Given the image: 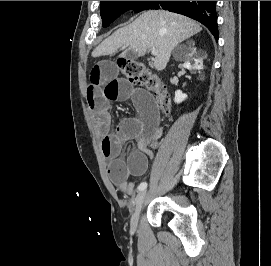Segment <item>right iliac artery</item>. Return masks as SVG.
I'll use <instances>...</instances> for the list:
<instances>
[{"label": "right iliac artery", "mask_w": 271, "mask_h": 266, "mask_svg": "<svg viewBox=\"0 0 271 266\" xmlns=\"http://www.w3.org/2000/svg\"><path fill=\"white\" fill-rule=\"evenodd\" d=\"M146 187H147V183H146V182H142V183H140V185L138 186V190H139V191H143V190L146 189Z\"/></svg>", "instance_id": "1"}]
</instances>
